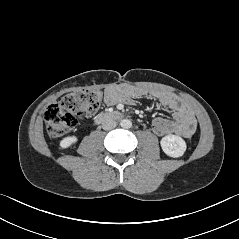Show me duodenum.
<instances>
[{
    "label": "duodenum",
    "mask_w": 239,
    "mask_h": 239,
    "mask_svg": "<svg viewBox=\"0 0 239 239\" xmlns=\"http://www.w3.org/2000/svg\"><path fill=\"white\" fill-rule=\"evenodd\" d=\"M122 118H124V114L120 111L102 112L94 118V123L101 124L109 120H120Z\"/></svg>",
    "instance_id": "duodenum-1"
}]
</instances>
